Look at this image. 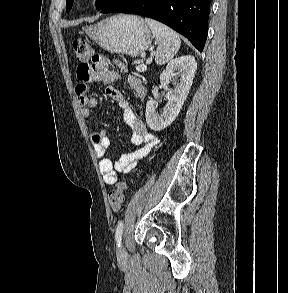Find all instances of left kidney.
<instances>
[{"mask_svg":"<svg viewBox=\"0 0 288 293\" xmlns=\"http://www.w3.org/2000/svg\"><path fill=\"white\" fill-rule=\"evenodd\" d=\"M196 69L195 58L190 55L176 58L166 66L160 75V82L168 83L175 77V88L167 92L168 102L161 114L156 111V100L151 99L147 102L145 116L150 129L163 130L175 120L187 98Z\"/></svg>","mask_w":288,"mask_h":293,"instance_id":"1","label":"left kidney"}]
</instances>
